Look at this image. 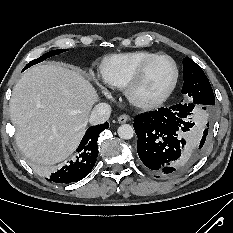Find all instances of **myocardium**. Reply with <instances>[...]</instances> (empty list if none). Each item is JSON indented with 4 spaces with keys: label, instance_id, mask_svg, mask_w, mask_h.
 <instances>
[{
    "label": "myocardium",
    "instance_id": "1",
    "mask_svg": "<svg viewBox=\"0 0 233 233\" xmlns=\"http://www.w3.org/2000/svg\"><path fill=\"white\" fill-rule=\"evenodd\" d=\"M166 58L170 60L173 66V77L166 88L157 96L150 99H141L137 96V89L148 68L157 60ZM179 78V70L175 60L167 54H156L144 61L134 72L128 84L125 87V95L129 102L135 107L141 109H153L164 103L173 92Z\"/></svg>",
    "mask_w": 233,
    "mask_h": 233
}]
</instances>
